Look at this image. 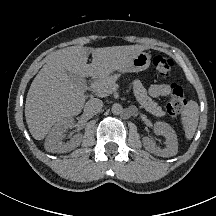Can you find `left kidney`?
Returning a JSON list of instances; mask_svg holds the SVG:
<instances>
[{"label": "left kidney", "instance_id": "1", "mask_svg": "<svg viewBox=\"0 0 216 216\" xmlns=\"http://www.w3.org/2000/svg\"><path fill=\"white\" fill-rule=\"evenodd\" d=\"M154 131L158 135H162L166 138V147L161 149L155 145V143L148 137H143V145L145 149L155 155L161 157H171L177 154L178 141L177 135L172 127L165 122H156L154 125Z\"/></svg>", "mask_w": 216, "mask_h": 216}]
</instances>
